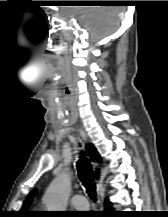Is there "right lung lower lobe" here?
Here are the masks:
<instances>
[{"label": "right lung lower lobe", "instance_id": "98d812e1", "mask_svg": "<svg viewBox=\"0 0 168 217\" xmlns=\"http://www.w3.org/2000/svg\"><path fill=\"white\" fill-rule=\"evenodd\" d=\"M112 203H110L107 207L106 210L103 212L102 216L103 217H118L115 211L112 209Z\"/></svg>", "mask_w": 168, "mask_h": 217}]
</instances>
